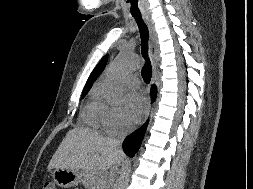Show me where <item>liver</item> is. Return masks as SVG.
Wrapping results in <instances>:
<instances>
[{"label":"liver","mask_w":253,"mask_h":189,"mask_svg":"<svg viewBox=\"0 0 253 189\" xmlns=\"http://www.w3.org/2000/svg\"><path fill=\"white\" fill-rule=\"evenodd\" d=\"M125 158L124 153H117L110 144V139L84 127L70 130L52 156L48 168L82 170L83 176L95 175V180L88 184L99 188L111 189L102 182L109 176L112 168ZM110 170V171H109Z\"/></svg>","instance_id":"obj_1"}]
</instances>
